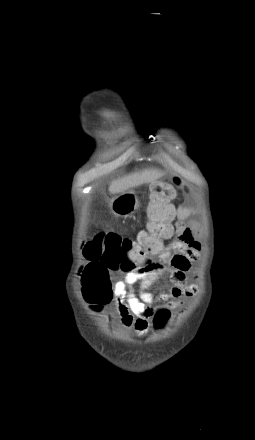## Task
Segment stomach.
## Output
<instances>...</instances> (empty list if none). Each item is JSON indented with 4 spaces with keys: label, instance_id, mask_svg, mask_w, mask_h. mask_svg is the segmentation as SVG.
Instances as JSON below:
<instances>
[{
    "label": "stomach",
    "instance_id": "1",
    "mask_svg": "<svg viewBox=\"0 0 255 440\" xmlns=\"http://www.w3.org/2000/svg\"><path fill=\"white\" fill-rule=\"evenodd\" d=\"M138 208V197L132 190L125 191L118 196H115L110 203V210L117 217H129Z\"/></svg>",
    "mask_w": 255,
    "mask_h": 440
}]
</instances>
